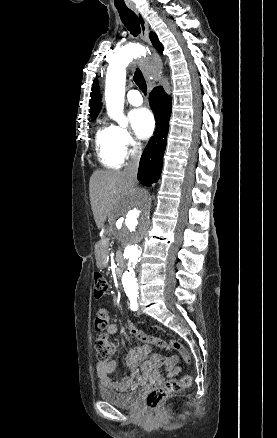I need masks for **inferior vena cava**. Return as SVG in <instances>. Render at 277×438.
I'll use <instances>...</instances> for the list:
<instances>
[{
    "label": "inferior vena cava",
    "instance_id": "inferior-vena-cava-1",
    "mask_svg": "<svg viewBox=\"0 0 277 438\" xmlns=\"http://www.w3.org/2000/svg\"><path fill=\"white\" fill-rule=\"evenodd\" d=\"M140 162V154H135L131 156L130 162H128L124 172L130 182V186H134L137 182V174Z\"/></svg>",
    "mask_w": 277,
    "mask_h": 438
}]
</instances>
